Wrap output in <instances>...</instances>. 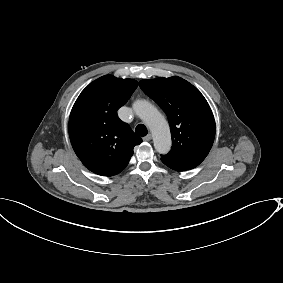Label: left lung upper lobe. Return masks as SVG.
Here are the masks:
<instances>
[{
	"label": "left lung upper lobe",
	"mask_w": 283,
	"mask_h": 283,
	"mask_svg": "<svg viewBox=\"0 0 283 283\" xmlns=\"http://www.w3.org/2000/svg\"><path fill=\"white\" fill-rule=\"evenodd\" d=\"M140 87L168 117L172 149L161 158L185 169L197 167L215 138V120L206 99L196 87L176 76L145 79Z\"/></svg>",
	"instance_id": "left-lung-upper-lobe-1"
}]
</instances>
